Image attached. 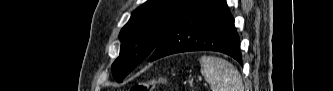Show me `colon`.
<instances>
[{"label":"colon","instance_id":"5ec220e1","mask_svg":"<svg viewBox=\"0 0 333 91\" xmlns=\"http://www.w3.org/2000/svg\"><path fill=\"white\" fill-rule=\"evenodd\" d=\"M158 83L166 84L167 79L165 77H160L158 79L143 81L133 85L131 91H153Z\"/></svg>","mask_w":333,"mask_h":91}]
</instances>
